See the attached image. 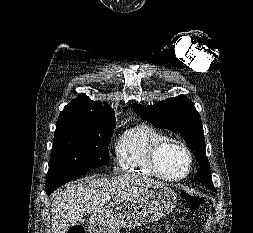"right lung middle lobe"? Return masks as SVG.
I'll use <instances>...</instances> for the list:
<instances>
[{"label":"right lung middle lobe","instance_id":"right-lung-middle-lobe-1","mask_svg":"<svg viewBox=\"0 0 253 233\" xmlns=\"http://www.w3.org/2000/svg\"><path fill=\"white\" fill-rule=\"evenodd\" d=\"M115 118L60 114L47 177L63 171L98 167L109 162L108 145Z\"/></svg>","mask_w":253,"mask_h":233}]
</instances>
